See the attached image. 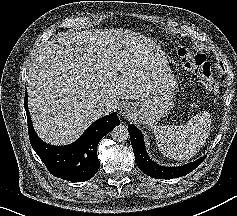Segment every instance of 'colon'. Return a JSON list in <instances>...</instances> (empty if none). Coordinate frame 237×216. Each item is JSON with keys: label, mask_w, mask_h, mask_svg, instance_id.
Wrapping results in <instances>:
<instances>
[{"label": "colon", "mask_w": 237, "mask_h": 216, "mask_svg": "<svg viewBox=\"0 0 237 216\" xmlns=\"http://www.w3.org/2000/svg\"><path fill=\"white\" fill-rule=\"evenodd\" d=\"M178 53L185 68L198 73L210 86H217L212 77L211 64L204 55L196 54L193 49L185 46H182Z\"/></svg>", "instance_id": "5ec220e1"}]
</instances>
